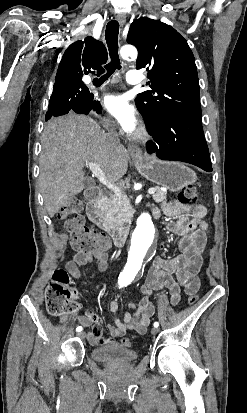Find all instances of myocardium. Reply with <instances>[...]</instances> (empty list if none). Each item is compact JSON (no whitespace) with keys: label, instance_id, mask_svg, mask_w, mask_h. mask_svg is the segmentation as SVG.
I'll list each match as a JSON object with an SVG mask.
<instances>
[{"label":"myocardium","instance_id":"myocardium-1","mask_svg":"<svg viewBox=\"0 0 247 413\" xmlns=\"http://www.w3.org/2000/svg\"><path fill=\"white\" fill-rule=\"evenodd\" d=\"M151 138V131L147 126H142L135 136V140L141 143L147 142Z\"/></svg>","mask_w":247,"mask_h":413}]
</instances>
